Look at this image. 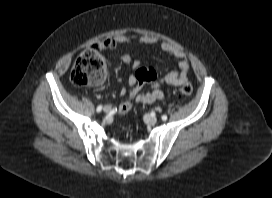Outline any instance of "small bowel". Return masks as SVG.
I'll use <instances>...</instances> for the list:
<instances>
[{
	"label": "small bowel",
	"mask_w": 272,
	"mask_h": 198,
	"mask_svg": "<svg viewBox=\"0 0 272 198\" xmlns=\"http://www.w3.org/2000/svg\"><path fill=\"white\" fill-rule=\"evenodd\" d=\"M135 41L144 45H152L156 43V39L149 36L136 39L132 35H120L115 38L103 39L97 42L94 45V48L98 51H103L106 49H113L118 45ZM161 49L168 55L173 56L178 60V69L168 72L161 77H158L157 74H154L151 77H140L138 75L140 62L132 59L129 55H121V60L132 68V73L128 77L129 90L127 91L125 88L121 90V95L125 97L119 107V111L121 113H127L130 111L132 100L145 104H151L155 101L162 100L164 98V93L162 91L163 86H178L187 84L189 64L185 58V54L169 43H162ZM145 82H148L151 88L150 91L142 93L141 87Z\"/></svg>",
	"instance_id": "c3829d8e"
}]
</instances>
